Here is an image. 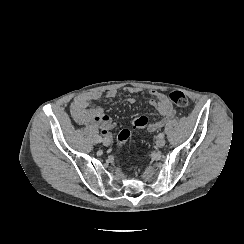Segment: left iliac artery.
<instances>
[{
    "label": "left iliac artery",
    "mask_w": 244,
    "mask_h": 244,
    "mask_svg": "<svg viewBox=\"0 0 244 244\" xmlns=\"http://www.w3.org/2000/svg\"><path fill=\"white\" fill-rule=\"evenodd\" d=\"M164 136H165L164 133H159L158 134V138H164Z\"/></svg>",
    "instance_id": "1"
}]
</instances>
